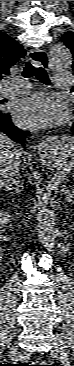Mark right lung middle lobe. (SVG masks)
<instances>
[{"label":"right lung middle lobe","mask_w":74,"mask_h":366,"mask_svg":"<svg viewBox=\"0 0 74 366\" xmlns=\"http://www.w3.org/2000/svg\"><path fill=\"white\" fill-rule=\"evenodd\" d=\"M2 103H3V101H1V100H0V104H2ZM1 113H2V112L0 111V114H1Z\"/></svg>","instance_id":"right-lung-middle-lobe-1"}]
</instances>
